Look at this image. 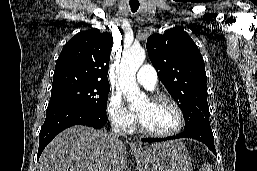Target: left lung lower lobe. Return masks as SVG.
<instances>
[{
    "instance_id": "1",
    "label": "left lung lower lobe",
    "mask_w": 257,
    "mask_h": 171,
    "mask_svg": "<svg viewBox=\"0 0 257 171\" xmlns=\"http://www.w3.org/2000/svg\"><path fill=\"white\" fill-rule=\"evenodd\" d=\"M178 138H192L203 142L216 156V150L214 146V136L211 129L203 127H193L184 129V131L178 135L166 137V138H143V142H160Z\"/></svg>"
}]
</instances>
